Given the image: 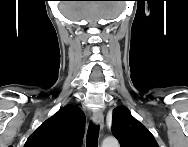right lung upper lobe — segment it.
<instances>
[{
  "mask_svg": "<svg viewBox=\"0 0 188 147\" xmlns=\"http://www.w3.org/2000/svg\"><path fill=\"white\" fill-rule=\"evenodd\" d=\"M84 129V113L68 104L37 128L24 147H80Z\"/></svg>",
  "mask_w": 188,
  "mask_h": 147,
  "instance_id": "right-lung-upper-lobe-1",
  "label": "right lung upper lobe"
}]
</instances>
